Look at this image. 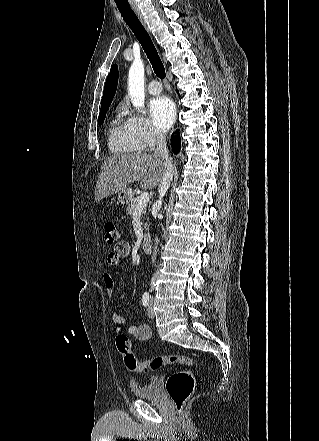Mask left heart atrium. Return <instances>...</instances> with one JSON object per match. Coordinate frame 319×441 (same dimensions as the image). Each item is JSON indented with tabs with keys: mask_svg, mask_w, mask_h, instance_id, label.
Here are the masks:
<instances>
[{
	"mask_svg": "<svg viewBox=\"0 0 319 441\" xmlns=\"http://www.w3.org/2000/svg\"><path fill=\"white\" fill-rule=\"evenodd\" d=\"M149 109L156 128L161 131H166L171 127L175 118L176 107L169 97H155L151 100Z\"/></svg>",
	"mask_w": 319,
	"mask_h": 441,
	"instance_id": "obj_1",
	"label": "left heart atrium"
}]
</instances>
